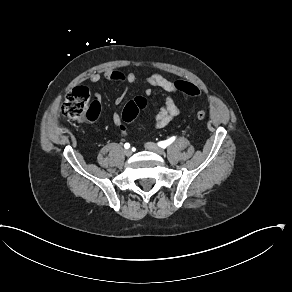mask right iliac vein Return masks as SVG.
Masks as SVG:
<instances>
[{
  "mask_svg": "<svg viewBox=\"0 0 292 292\" xmlns=\"http://www.w3.org/2000/svg\"><path fill=\"white\" fill-rule=\"evenodd\" d=\"M124 153H125V155H126L127 157H129V156L132 155V151H131L130 149H126V150L124 151Z\"/></svg>",
  "mask_w": 292,
  "mask_h": 292,
  "instance_id": "right-iliac-vein-1",
  "label": "right iliac vein"
}]
</instances>
